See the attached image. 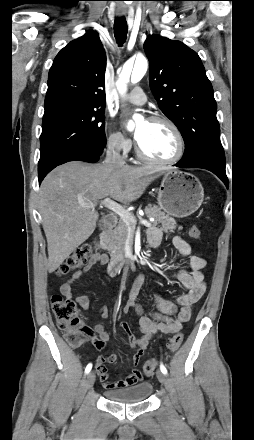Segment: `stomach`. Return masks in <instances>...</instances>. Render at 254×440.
<instances>
[{"label":"stomach","instance_id":"obj_1","mask_svg":"<svg viewBox=\"0 0 254 440\" xmlns=\"http://www.w3.org/2000/svg\"><path fill=\"white\" fill-rule=\"evenodd\" d=\"M204 199L202 184L194 175L179 171H167L158 188L157 201L166 214L184 218L192 215Z\"/></svg>","mask_w":254,"mask_h":440}]
</instances>
